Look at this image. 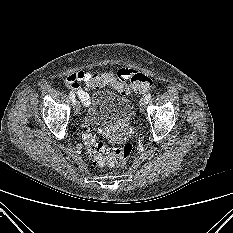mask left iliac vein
I'll use <instances>...</instances> for the list:
<instances>
[{
    "label": "left iliac vein",
    "instance_id": "1",
    "mask_svg": "<svg viewBox=\"0 0 233 233\" xmlns=\"http://www.w3.org/2000/svg\"><path fill=\"white\" fill-rule=\"evenodd\" d=\"M146 101H145V99H143L141 102H140V110H141V112H144L145 111V106H146Z\"/></svg>",
    "mask_w": 233,
    "mask_h": 233
}]
</instances>
